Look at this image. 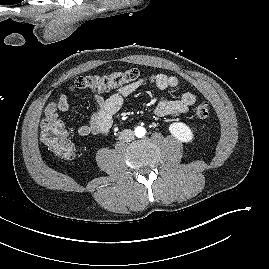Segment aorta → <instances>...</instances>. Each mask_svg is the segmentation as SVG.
Masks as SVG:
<instances>
[{"mask_svg":"<svg viewBox=\"0 0 269 269\" xmlns=\"http://www.w3.org/2000/svg\"><path fill=\"white\" fill-rule=\"evenodd\" d=\"M134 132H135L136 137L142 138L146 133V129L142 126H138L135 128Z\"/></svg>","mask_w":269,"mask_h":269,"instance_id":"obj_1","label":"aorta"}]
</instances>
